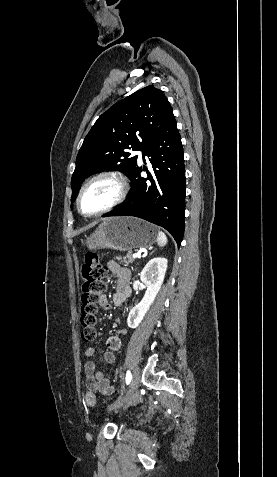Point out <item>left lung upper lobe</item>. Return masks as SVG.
I'll list each match as a JSON object with an SVG mask.
<instances>
[{
    "mask_svg": "<svg viewBox=\"0 0 277 477\" xmlns=\"http://www.w3.org/2000/svg\"><path fill=\"white\" fill-rule=\"evenodd\" d=\"M174 117L161 90L149 85L120 100L95 122L78 152L71 179L74 202L80 184L102 170H119L131 177L138 169V156L149 140Z\"/></svg>",
    "mask_w": 277,
    "mask_h": 477,
    "instance_id": "5c2ea615",
    "label": "left lung upper lobe"
}]
</instances>
